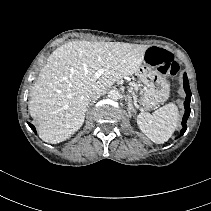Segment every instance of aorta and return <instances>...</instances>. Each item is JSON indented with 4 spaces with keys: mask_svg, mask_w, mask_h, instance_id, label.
Returning a JSON list of instances; mask_svg holds the SVG:
<instances>
[{
    "mask_svg": "<svg viewBox=\"0 0 211 211\" xmlns=\"http://www.w3.org/2000/svg\"><path fill=\"white\" fill-rule=\"evenodd\" d=\"M108 97L112 100H118L120 98V93L117 90H110L108 92Z\"/></svg>",
    "mask_w": 211,
    "mask_h": 211,
    "instance_id": "1",
    "label": "aorta"
}]
</instances>
